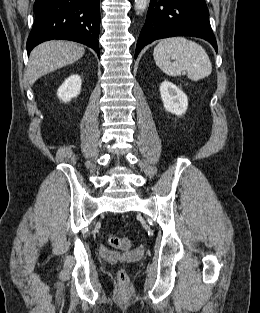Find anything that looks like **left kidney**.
<instances>
[{
  "label": "left kidney",
  "instance_id": "obj_1",
  "mask_svg": "<svg viewBox=\"0 0 260 313\" xmlns=\"http://www.w3.org/2000/svg\"><path fill=\"white\" fill-rule=\"evenodd\" d=\"M160 94L166 111L181 116L188 108V98L176 85L164 81L160 85Z\"/></svg>",
  "mask_w": 260,
  "mask_h": 313
}]
</instances>
